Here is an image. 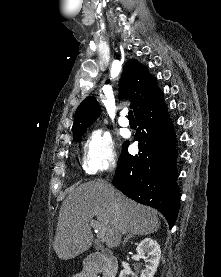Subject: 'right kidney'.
<instances>
[{
	"label": "right kidney",
	"mask_w": 221,
	"mask_h": 277,
	"mask_svg": "<svg viewBox=\"0 0 221 277\" xmlns=\"http://www.w3.org/2000/svg\"><path fill=\"white\" fill-rule=\"evenodd\" d=\"M136 251L138 256L147 262L146 268L142 271L141 277H153L161 257L160 245L156 240L145 238L138 244ZM131 275L133 277L131 269L124 268L121 270L119 277H130Z\"/></svg>",
	"instance_id": "obj_1"
}]
</instances>
